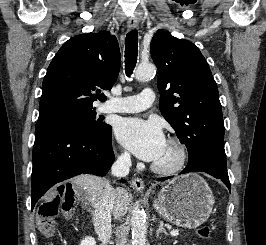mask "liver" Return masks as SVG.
Instances as JSON below:
<instances>
[{
    "instance_id": "obj_1",
    "label": "liver",
    "mask_w": 266,
    "mask_h": 245,
    "mask_svg": "<svg viewBox=\"0 0 266 245\" xmlns=\"http://www.w3.org/2000/svg\"><path fill=\"white\" fill-rule=\"evenodd\" d=\"M74 183L84 191L85 195H87V201L92 205L93 199H95V195H97V191L104 189L108 181H106V179H101V177H93V175H79V177H76ZM114 191L115 197L113 199L114 207L112 213L114 219L119 221V219L124 217L128 211L129 195L127 191L121 189V187L114 189Z\"/></svg>"
}]
</instances>
